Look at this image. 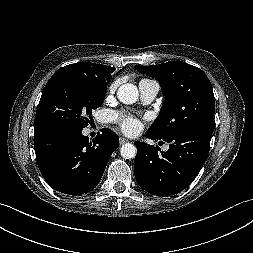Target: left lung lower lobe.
<instances>
[{"mask_svg": "<svg viewBox=\"0 0 253 253\" xmlns=\"http://www.w3.org/2000/svg\"><path fill=\"white\" fill-rule=\"evenodd\" d=\"M212 132L194 129L160 138L147 131V138L170 145L169 150L163 152L158 146L135 142L134 173L139 186L158 196H169L184 190L198 175L207 158Z\"/></svg>", "mask_w": 253, "mask_h": 253, "instance_id": "left-lung-lower-lobe-1", "label": "left lung lower lobe"}]
</instances>
